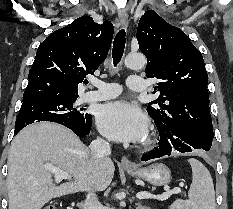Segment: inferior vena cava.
I'll return each instance as SVG.
<instances>
[{
    "label": "inferior vena cava",
    "mask_w": 233,
    "mask_h": 209,
    "mask_svg": "<svg viewBox=\"0 0 233 209\" xmlns=\"http://www.w3.org/2000/svg\"><path fill=\"white\" fill-rule=\"evenodd\" d=\"M91 154L98 159H108L111 154L109 142L97 138L90 144ZM84 209H103L101 203L98 201L94 191L88 192L84 204Z\"/></svg>",
    "instance_id": "inferior-vena-cava-1"
}]
</instances>
